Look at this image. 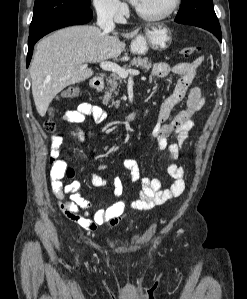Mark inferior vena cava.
<instances>
[{"label":"inferior vena cava","mask_w":247,"mask_h":299,"mask_svg":"<svg viewBox=\"0 0 247 299\" xmlns=\"http://www.w3.org/2000/svg\"><path fill=\"white\" fill-rule=\"evenodd\" d=\"M115 11L114 6H102L97 9V25L103 31H112L115 28L113 22Z\"/></svg>","instance_id":"602c4592"}]
</instances>
